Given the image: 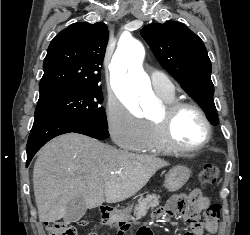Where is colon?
<instances>
[{
  "mask_svg": "<svg viewBox=\"0 0 250 235\" xmlns=\"http://www.w3.org/2000/svg\"><path fill=\"white\" fill-rule=\"evenodd\" d=\"M220 180V171L217 165H205L199 175V182L202 186L214 185ZM221 207L219 204H211L203 212V222L206 225H217L220 219ZM86 221H82L85 224ZM48 235H77L74 225L65 221L45 222Z\"/></svg>",
  "mask_w": 250,
  "mask_h": 235,
  "instance_id": "obj_1",
  "label": "colon"
}]
</instances>
